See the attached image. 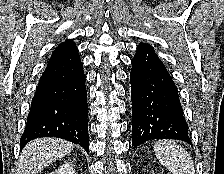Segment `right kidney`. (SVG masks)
<instances>
[{"label": "right kidney", "mask_w": 224, "mask_h": 174, "mask_svg": "<svg viewBox=\"0 0 224 174\" xmlns=\"http://www.w3.org/2000/svg\"><path fill=\"white\" fill-rule=\"evenodd\" d=\"M50 174H76L72 164L65 163Z\"/></svg>", "instance_id": "ca27d5eb"}]
</instances>
